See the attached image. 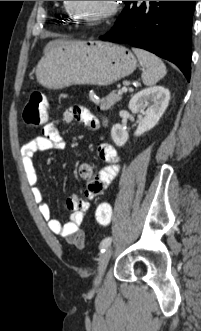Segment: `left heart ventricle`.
Returning a JSON list of instances; mask_svg holds the SVG:
<instances>
[{
	"instance_id": "1",
	"label": "left heart ventricle",
	"mask_w": 201,
	"mask_h": 331,
	"mask_svg": "<svg viewBox=\"0 0 201 331\" xmlns=\"http://www.w3.org/2000/svg\"><path fill=\"white\" fill-rule=\"evenodd\" d=\"M109 1H72L76 13L92 18L104 12L108 7Z\"/></svg>"
}]
</instances>
